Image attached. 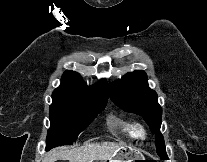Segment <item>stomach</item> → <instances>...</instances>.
Wrapping results in <instances>:
<instances>
[{"instance_id": "1", "label": "stomach", "mask_w": 207, "mask_h": 162, "mask_svg": "<svg viewBox=\"0 0 207 162\" xmlns=\"http://www.w3.org/2000/svg\"><path fill=\"white\" fill-rule=\"evenodd\" d=\"M142 160H145V158L139 151L128 146H123L114 154L112 159L105 160L104 162H145Z\"/></svg>"}]
</instances>
